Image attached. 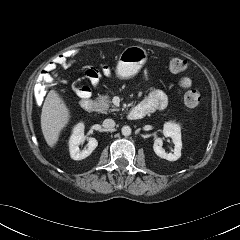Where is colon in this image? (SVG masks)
<instances>
[{"instance_id":"obj_1","label":"colon","mask_w":240,"mask_h":240,"mask_svg":"<svg viewBox=\"0 0 240 240\" xmlns=\"http://www.w3.org/2000/svg\"><path fill=\"white\" fill-rule=\"evenodd\" d=\"M79 55H80V50L74 48L61 53L57 57L61 63L69 67L79 61L78 59ZM186 68H187V62L182 58L174 57L169 62V69L173 73H181L185 71ZM92 73H93V67H90V66L84 67L85 77L89 78L92 75ZM82 87H78L77 89H80ZM39 96L42 97V91H39ZM184 102L186 106L190 108H197L201 105L200 94L196 90H188L184 94Z\"/></svg>"}]
</instances>
